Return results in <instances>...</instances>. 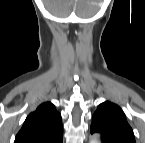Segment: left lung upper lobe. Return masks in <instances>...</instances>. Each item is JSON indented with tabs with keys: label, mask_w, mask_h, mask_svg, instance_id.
Returning <instances> with one entry per match:
<instances>
[{
	"label": "left lung upper lobe",
	"mask_w": 145,
	"mask_h": 143,
	"mask_svg": "<svg viewBox=\"0 0 145 143\" xmlns=\"http://www.w3.org/2000/svg\"><path fill=\"white\" fill-rule=\"evenodd\" d=\"M91 133H100L102 143H136L124 112L111 102H103L92 117Z\"/></svg>",
	"instance_id": "1"
}]
</instances>
